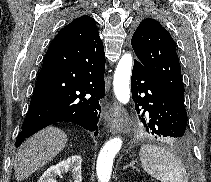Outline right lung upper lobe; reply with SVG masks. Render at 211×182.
I'll use <instances>...</instances> for the list:
<instances>
[{"label": "right lung upper lobe", "mask_w": 211, "mask_h": 182, "mask_svg": "<svg viewBox=\"0 0 211 182\" xmlns=\"http://www.w3.org/2000/svg\"><path fill=\"white\" fill-rule=\"evenodd\" d=\"M99 35L95 20L89 16H81L64 27L53 41L66 43L96 38Z\"/></svg>", "instance_id": "right-lung-upper-lobe-1"}]
</instances>
